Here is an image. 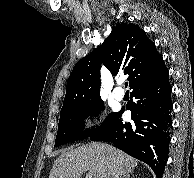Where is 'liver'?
Masks as SVG:
<instances>
[{
	"label": "liver",
	"instance_id": "obj_1",
	"mask_svg": "<svg viewBox=\"0 0 194 178\" xmlns=\"http://www.w3.org/2000/svg\"><path fill=\"white\" fill-rule=\"evenodd\" d=\"M138 161L115 147L90 143L64 151L55 161L49 178H122L132 172Z\"/></svg>",
	"mask_w": 194,
	"mask_h": 178
}]
</instances>
